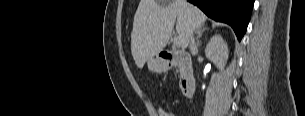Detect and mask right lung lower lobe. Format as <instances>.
<instances>
[{"label":"right lung lower lobe","mask_w":305,"mask_h":116,"mask_svg":"<svg viewBox=\"0 0 305 116\" xmlns=\"http://www.w3.org/2000/svg\"><path fill=\"white\" fill-rule=\"evenodd\" d=\"M210 18L229 24L241 40L250 20L254 0H188Z\"/></svg>","instance_id":"right-lung-lower-lobe-1"}]
</instances>
